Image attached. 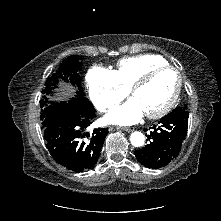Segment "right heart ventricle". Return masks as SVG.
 Masks as SVG:
<instances>
[{
	"mask_svg": "<svg viewBox=\"0 0 221 221\" xmlns=\"http://www.w3.org/2000/svg\"><path fill=\"white\" fill-rule=\"evenodd\" d=\"M165 64L168 62L159 55L143 54L119 60L114 73L121 85L129 90L148 69Z\"/></svg>",
	"mask_w": 221,
	"mask_h": 221,
	"instance_id": "e07e8e85",
	"label": "right heart ventricle"
}]
</instances>
